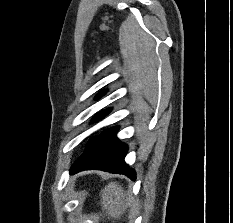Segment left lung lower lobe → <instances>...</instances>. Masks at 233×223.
Instances as JSON below:
<instances>
[{
    "label": "left lung lower lobe",
    "mask_w": 233,
    "mask_h": 223,
    "mask_svg": "<svg viewBox=\"0 0 233 223\" xmlns=\"http://www.w3.org/2000/svg\"><path fill=\"white\" fill-rule=\"evenodd\" d=\"M117 131L118 127L106 129L87 145L86 150L72 165L70 174L83 170L99 169L124 174L135 180V171L124 162L127 145L116 139Z\"/></svg>",
    "instance_id": "left-lung-lower-lobe-1"
}]
</instances>
